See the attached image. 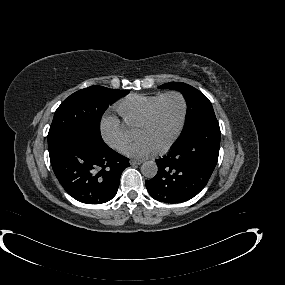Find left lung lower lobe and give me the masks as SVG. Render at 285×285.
<instances>
[{"instance_id":"0a47b994","label":"left lung lower lobe","mask_w":285,"mask_h":285,"mask_svg":"<svg viewBox=\"0 0 285 285\" xmlns=\"http://www.w3.org/2000/svg\"><path fill=\"white\" fill-rule=\"evenodd\" d=\"M220 128L208 121L181 137L169 154L157 159L158 173L145 185L160 202L181 203L196 196L207 184L218 160Z\"/></svg>"}]
</instances>
